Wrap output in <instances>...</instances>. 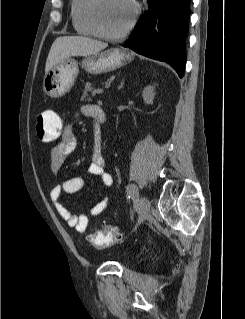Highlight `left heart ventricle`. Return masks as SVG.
<instances>
[{"mask_svg": "<svg viewBox=\"0 0 245 319\" xmlns=\"http://www.w3.org/2000/svg\"><path fill=\"white\" fill-rule=\"evenodd\" d=\"M133 7L128 0H102L99 10V20L107 32L117 33L130 22Z\"/></svg>", "mask_w": 245, "mask_h": 319, "instance_id": "obj_1", "label": "left heart ventricle"}]
</instances>
